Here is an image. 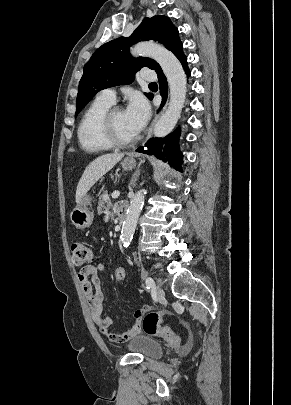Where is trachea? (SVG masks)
I'll list each match as a JSON object with an SVG mask.
<instances>
[{"label":"trachea","mask_w":291,"mask_h":405,"mask_svg":"<svg viewBox=\"0 0 291 405\" xmlns=\"http://www.w3.org/2000/svg\"><path fill=\"white\" fill-rule=\"evenodd\" d=\"M149 85H150V86H156L157 83H156V82H153V83H150Z\"/></svg>","instance_id":"3493384b"}]
</instances>
